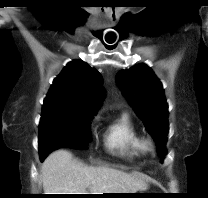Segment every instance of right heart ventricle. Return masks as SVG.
Segmentation results:
<instances>
[{
	"label": "right heart ventricle",
	"instance_id": "1",
	"mask_svg": "<svg viewBox=\"0 0 208 198\" xmlns=\"http://www.w3.org/2000/svg\"><path fill=\"white\" fill-rule=\"evenodd\" d=\"M141 137L134 124L126 114L110 123L104 132V144L113 154L126 159L140 155Z\"/></svg>",
	"mask_w": 208,
	"mask_h": 198
}]
</instances>
